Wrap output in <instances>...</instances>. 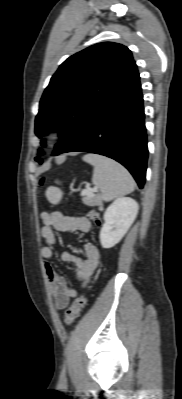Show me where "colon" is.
<instances>
[{
  "label": "colon",
  "instance_id": "1",
  "mask_svg": "<svg viewBox=\"0 0 182 399\" xmlns=\"http://www.w3.org/2000/svg\"><path fill=\"white\" fill-rule=\"evenodd\" d=\"M88 216L97 224L101 222L99 216L93 211H89ZM85 304H86V296L85 294H81L74 300L72 305L67 309L64 317V322L67 325L72 324L79 317Z\"/></svg>",
  "mask_w": 182,
  "mask_h": 399
}]
</instances>
